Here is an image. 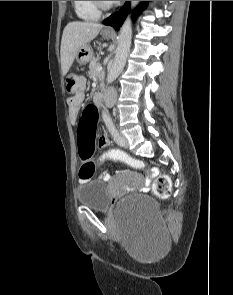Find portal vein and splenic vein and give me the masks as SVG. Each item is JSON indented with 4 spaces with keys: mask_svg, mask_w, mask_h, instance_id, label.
Returning a JSON list of instances; mask_svg holds the SVG:
<instances>
[{
    "mask_svg": "<svg viewBox=\"0 0 233 295\" xmlns=\"http://www.w3.org/2000/svg\"><path fill=\"white\" fill-rule=\"evenodd\" d=\"M103 69V67L102 66H99L98 68H97V71L99 72V71H101Z\"/></svg>",
    "mask_w": 233,
    "mask_h": 295,
    "instance_id": "obj_1",
    "label": "portal vein and splenic vein"
}]
</instances>
